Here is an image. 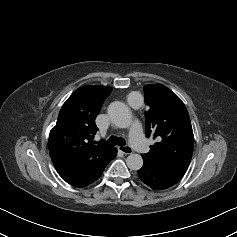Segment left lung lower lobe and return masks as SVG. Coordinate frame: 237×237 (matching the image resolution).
Masks as SVG:
<instances>
[{"mask_svg":"<svg viewBox=\"0 0 237 237\" xmlns=\"http://www.w3.org/2000/svg\"><path fill=\"white\" fill-rule=\"evenodd\" d=\"M143 161V167L138 171V176L154 190H163L173 186L184 174L144 158Z\"/></svg>","mask_w":237,"mask_h":237,"instance_id":"0a47b994","label":"left lung lower lobe"}]
</instances>
